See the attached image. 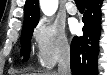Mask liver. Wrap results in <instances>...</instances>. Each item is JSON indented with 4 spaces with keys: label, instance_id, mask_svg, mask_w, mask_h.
Segmentation results:
<instances>
[{
    "label": "liver",
    "instance_id": "obj_1",
    "mask_svg": "<svg viewBox=\"0 0 107 75\" xmlns=\"http://www.w3.org/2000/svg\"><path fill=\"white\" fill-rule=\"evenodd\" d=\"M26 75H57V73L56 72H48L45 74L31 73V74H26Z\"/></svg>",
    "mask_w": 107,
    "mask_h": 75
}]
</instances>
